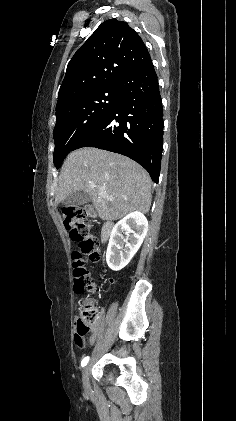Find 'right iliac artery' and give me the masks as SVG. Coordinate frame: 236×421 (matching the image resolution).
I'll use <instances>...</instances> for the list:
<instances>
[{
    "label": "right iliac artery",
    "mask_w": 236,
    "mask_h": 421,
    "mask_svg": "<svg viewBox=\"0 0 236 421\" xmlns=\"http://www.w3.org/2000/svg\"><path fill=\"white\" fill-rule=\"evenodd\" d=\"M88 361H89V357H85V358L81 361V366H82V367L86 366V365H87V363H88Z\"/></svg>",
    "instance_id": "82829eb1"
}]
</instances>
